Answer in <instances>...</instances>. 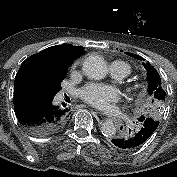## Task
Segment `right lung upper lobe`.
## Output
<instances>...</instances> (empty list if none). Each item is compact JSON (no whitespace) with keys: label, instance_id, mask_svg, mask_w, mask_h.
Segmentation results:
<instances>
[{"label":"right lung upper lobe","instance_id":"1","mask_svg":"<svg viewBox=\"0 0 177 177\" xmlns=\"http://www.w3.org/2000/svg\"><path fill=\"white\" fill-rule=\"evenodd\" d=\"M84 52L83 47L70 44L48 47L22 63L16 74L14 86H21L24 81L32 78L53 81L66 76L73 60Z\"/></svg>","mask_w":177,"mask_h":177}]
</instances>
